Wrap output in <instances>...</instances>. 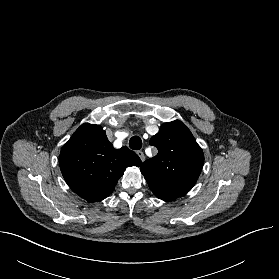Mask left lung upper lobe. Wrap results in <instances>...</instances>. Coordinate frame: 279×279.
I'll use <instances>...</instances> for the list:
<instances>
[{
    "label": "left lung upper lobe",
    "instance_id": "5c2ea615",
    "mask_svg": "<svg viewBox=\"0 0 279 279\" xmlns=\"http://www.w3.org/2000/svg\"><path fill=\"white\" fill-rule=\"evenodd\" d=\"M150 144L159 152L140 170L152 192L166 202L186 195L204 164L203 151L190 130L179 120L164 123Z\"/></svg>",
    "mask_w": 279,
    "mask_h": 279
}]
</instances>
